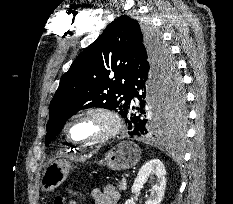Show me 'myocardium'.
I'll return each instance as SVG.
<instances>
[{"label": "myocardium", "mask_w": 233, "mask_h": 204, "mask_svg": "<svg viewBox=\"0 0 233 204\" xmlns=\"http://www.w3.org/2000/svg\"><path fill=\"white\" fill-rule=\"evenodd\" d=\"M91 116L100 117L106 120L109 125L107 131L102 135L98 136L97 138L91 140L79 141L73 139L69 132V128L72 125V123L77 119L84 117H91ZM122 128H123V120L117 112L103 106H92L74 113L65 123L63 130L66 138L70 142L83 146H91V145H98L105 143L108 140L114 138L121 132Z\"/></svg>", "instance_id": "f54148a6"}]
</instances>
